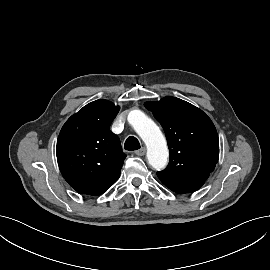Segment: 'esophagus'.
I'll list each match as a JSON object with an SVG mask.
<instances>
[{
    "instance_id": "34e87169",
    "label": "esophagus",
    "mask_w": 270,
    "mask_h": 270,
    "mask_svg": "<svg viewBox=\"0 0 270 270\" xmlns=\"http://www.w3.org/2000/svg\"><path fill=\"white\" fill-rule=\"evenodd\" d=\"M146 153V148L145 147H141L139 150L135 151V154L137 156H144Z\"/></svg>"
}]
</instances>
